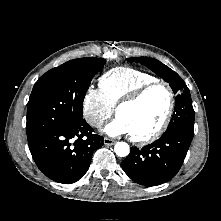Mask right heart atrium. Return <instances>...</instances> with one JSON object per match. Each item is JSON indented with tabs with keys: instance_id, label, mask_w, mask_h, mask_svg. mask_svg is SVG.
I'll use <instances>...</instances> for the list:
<instances>
[{
	"instance_id": "d8ad5b80",
	"label": "right heart atrium",
	"mask_w": 221,
	"mask_h": 221,
	"mask_svg": "<svg viewBox=\"0 0 221 221\" xmlns=\"http://www.w3.org/2000/svg\"><path fill=\"white\" fill-rule=\"evenodd\" d=\"M83 117L93 128H100L113 113V107L105 99L100 89L89 87L83 97Z\"/></svg>"
}]
</instances>
